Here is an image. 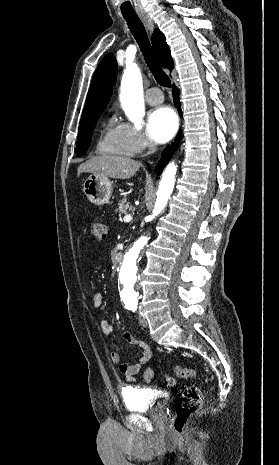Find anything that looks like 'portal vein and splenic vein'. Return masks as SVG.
Masks as SVG:
<instances>
[{
	"label": "portal vein and splenic vein",
	"mask_w": 279,
	"mask_h": 465,
	"mask_svg": "<svg viewBox=\"0 0 279 465\" xmlns=\"http://www.w3.org/2000/svg\"><path fill=\"white\" fill-rule=\"evenodd\" d=\"M132 218L133 217H132L131 214H127V215L124 216L123 221L124 222H130L132 220Z\"/></svg>",
	"instance_id": "18ae733b"
}]
</instances>
